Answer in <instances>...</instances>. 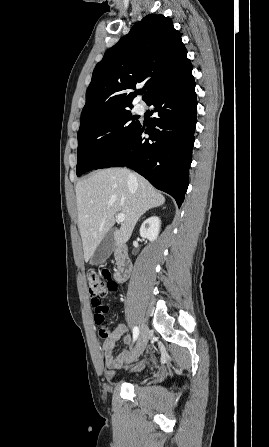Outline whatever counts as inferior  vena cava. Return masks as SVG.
I'll return each mask as SVG.
<instances>
[{
    "label": "inferior vena cava",
    "mask_w": 269,
    "mask_h": 447,
    "mask_svg": "<svg viewBox=\"0 0 269 447\" xmlns=\"http://www.w3.org/2000/svg\"><path fill=\"white\" fill-rule=\"evenodd\" d=\"M128 180H135V176H133V174H129Z\"/></svg>",
    "instance_id": "inferior-vena-cava-1"
}]
</instances>
